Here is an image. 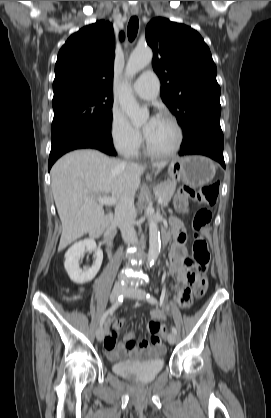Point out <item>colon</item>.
Returning a JSON list of instances; mask_svg holds the SVG:
<instances>
[{"mask_svg": "<svg viewBox=\"0 0 271 418\" xmlns=\"http://www.w3.org/2000/svg\"><path fill=\"white\" fill-rule=\"evenodd\" d=\"M219 194V183L212 182L201 187L199 190H194L190 187H181L174 198L175 208L180 212H186L189 204L193 200H197L204 204L197 210L193 218L194 241L192 247V258L184 261L185 266H193L195 268V282L193 285V292L196 298L201 297L208 286L207 271L210 265V252L208 243L200 232L206 228L212 218L210 206L217 202ZM160 329V324L151 321L149 323V330L155 333ZM160 339L153 336L152 341L158 342Z\"/></svg>", "mask_w": 271, "mask_h": 418, "instance_id": "5ec220e1", "label": "colon"}]
</instances>
